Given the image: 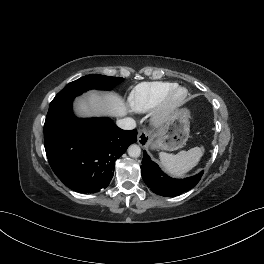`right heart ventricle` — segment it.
Returning a JSON list of instances; mask_svg holds the SVG:
<instances>
[{
	"label": "right heart ventricle",
	"instance_id": "obj_1",
	"mask_svg": "<svg viewBox=\"0 0 264 264\" xmlns=\"http://www.w3.org/2000/svg\"><path fill=\"white\" fill-rule=\"evenodd\" d=\"M175 86L176 83L169 81L142 82L132 89L129 95V104L136 112L150 111Z\"/></svg>",
	"mask_w": 264,
	"mask_h": 264
}]
</instances>
